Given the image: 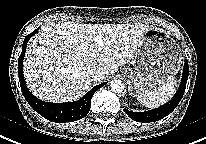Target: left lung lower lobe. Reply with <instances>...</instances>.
I'll use <instances>...</instances> for the list:
<instances>
[{
    "label": "left lung lower lobe",
    "mask_w": 206,
    "mask_h": 144,
    "mask_svg": "<svg viewBox=\"0 0 206 144\" xmlns=\"http://www.w3.org/2000/svg\"><path fill=\"white\" fill-rule=\"evenodd\" d=\"M189 70H188V61L185 60L184 64V71H183V78L181 80L180 86L169 102L164 104L163 106H160L159 108L145 111V112H132L128 111L127 109H124V111L127 113V115L133 119L136 122H155L158 121L167 115H169L179 104L180 100L183 97V94L185 92L187 78H188Z\"/></svg>",
    "instance_id": "1"
}]
</instances>
